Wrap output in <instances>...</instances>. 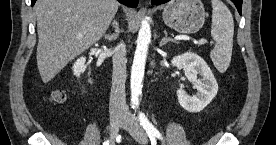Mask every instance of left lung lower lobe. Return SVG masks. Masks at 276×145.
<instances>
[{"label":"left lung lower lobe","instance_id":"left-lung-lower-lobe-1","mask_svg":"<svg viewBox=\"0 0 276 145\" xmlns=\"http://www.w3.org/2000/svg\"><path fill=\"white\" fill-rule=\"evenodd\" d=\"M168 1L169 0H152V4L153 5H159V4L166 3ZM231 1L235 4L236 8L238 9V12L241 15V8H242V1L243 0H231Z\"/></svg>","mask_w":276,"mask_h":145}]
</instances>
